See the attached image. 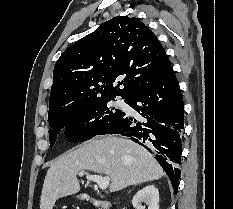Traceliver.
I'll return each instance as SVG.
<instances>
[{"mask_svg": "<svg viewBox=\"0 0 233 209\" xmlns=\"http://www.w3.org/2000/svg\"><path fill=\"white\" fill-rule=\"evenodd\" d=\"M85 170L107 175L111 181L110 192L158 180L165 174L147 150L126 138L94 139L60 156L50 166L42 188L40 209H53L59 198L78 193L77 175Z\"/></svg>", "mask_w": 233, "mask_h": 209, "instance_id": "liver-1", "label": "liver"}]
</instances>
